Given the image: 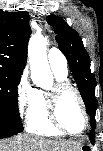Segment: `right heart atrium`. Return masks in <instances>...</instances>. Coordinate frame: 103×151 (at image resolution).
<instances>
[{
	"instance_id": "d8ad5b80",
	"label": "right heart atrium",
	"mask_w": 103,
	"mask_h": 151,
	"mask_svg": "<svg viewBox=\"0 0 103 151\" xmlns=\"http://www.w3.org/2000/svg\"><path fill=\"white\" fill-rule=\"evenodd\" d=\"M33 89L31 88L26 74H22L16 87V103L18 112L27 114L33 99Z\"/></svg>"
}]
</instances>
